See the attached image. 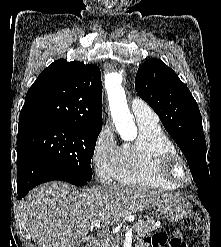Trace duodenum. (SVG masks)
Instances as JSON below:
<instances>
[{"label": "duodenum", "mask_w": 221, "mask_h": 247, "mask_svg": "<svg viewBox=\"0 0 221 247\" xmlns=\"http://www.w3.org/2000/svg\"><path fill=\"white\" fill-rule=\"evenodd\" d=\"M86 247H97V240L94 236L88 237Z\"/></svg>", "instance_id": "1"}]
</instances>
